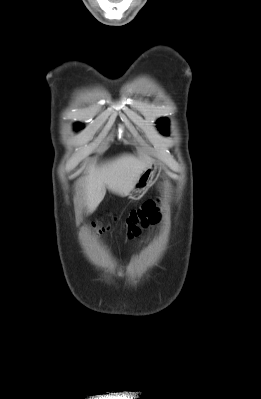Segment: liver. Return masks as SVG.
Here are the masks:
<instances>
[{
	"label": "liver",
	"mask_w": 261,
	"mask_h": 399,
	"mask_svg": "<svg viewBox=\"0 0 261 399\" xmlns=\"http://www.w3.org/2000/svg\"><path fill=\"white\" fill-rule=\"evenodd\" d=\"M148 155H122L101 165H91L85 177V200L90 213L104 199L106 188L119 196L132 192L143 171L153 163Z\"/></svg>",
	"instance_id": "6515ba94"
}]
</instances>
